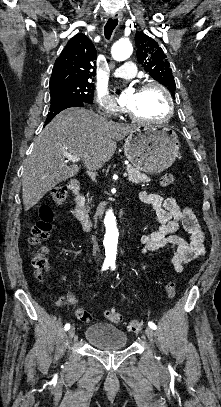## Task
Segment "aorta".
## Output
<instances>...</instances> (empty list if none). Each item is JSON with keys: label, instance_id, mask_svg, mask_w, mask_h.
<instances>
[{"label": "aorta", "instance_id": "aorta-1", "mask_svg": "<svg viewBox=\"0 0 221 407\" xmlns=\"http://www.w3.org/2000/svg\"><path fill=\"white\" fill-rule=\"evenodd\" d=\"M133 48L129 41L121 40L116 42L111 49V55L116 61H124L130 57ZM106 233L104 236V246L106 261L113 262L116 259L117 243L119 232L116 224V217L112 209L106 212L104 218Z\"/></svg>", "mask_w": 221, "mask_h": 407}]
</instances>
